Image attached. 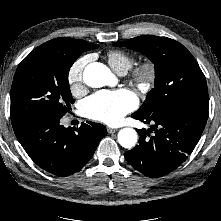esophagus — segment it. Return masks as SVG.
Masks as SVG:
<instances>
[{
	"mask_svg": "<svg viewBox=\"0 0 221 221\" xmlns=\"http://www.w3.org/2000/svg\"><path fill=\"white\" fill-rule=\"evenodd\" d=\"M107 131H108V133L112 134V133H115L117 131V129L108 127Z\"/></svg>",
	"mask_w": 221,
	"mask_h": 221,
	"instance_id": "34e87169",
	"label": "esophagus"
}]
</instances>
